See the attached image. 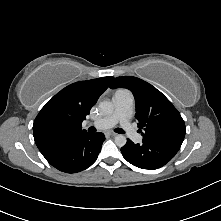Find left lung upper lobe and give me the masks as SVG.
Returning <instances> with one entry per match:
<instances>
[{
	"label": "left lung upper lobe",
	"mask_w": 221,
	"mask_h": 221,
	"mask_svg": "<svg viewBox=\"0 0 221 221\" xmlns=\"http://www.w3.org/2000/svg\"><path fill=\"white\" fill-rule=\"evenodd\" d=\"M118 87L131 90L135 97V117L139 121L138 127L143 129V141L181 147L186 133L184 121L159 90L137 77L115 78L111 88Z\"/></svg>",
	"instance_id": "5c2ea615"
}]
</instances>
